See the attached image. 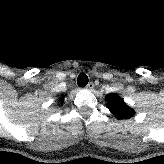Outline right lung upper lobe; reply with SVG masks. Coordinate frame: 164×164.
<instances>
[{
    "label": "right lung upper lobe",
    "mask_w": 164,
    "mask_h": 164,
    "mask_svg": "<svg viewBox=\"0 0 164 164\" xmlns=\"http://www.w3.org/2000/svg\"><path fill=\"white\" fill-rule=\"evenodd\" d=\"M63 98H64V96L62 97V99L60 98L61 104L63 103V101H62V100H63Z\"/></svg>",
    "instance_id": "right-lung-upper-lobe-1"
}]
</instances>
